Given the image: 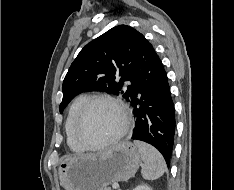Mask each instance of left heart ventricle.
Masks as SVG:
<instances>
[{"mask_svg":"<svg viewBox=\"0 0 234 190\" xmlns=\"http://www.w3.org/2000/svg\"><path fill=\"white\" fill-rule=\"evenodd\" d=\"M122 125L118 110L108 102L98 101L88 109L81 134L90 144H99L114 136Z\"/></svg>","mask_w":234,"mask_h":190,"instance_id":"left-heart-ventricle-1","label":"left heart ventricle"}]
</instances>
